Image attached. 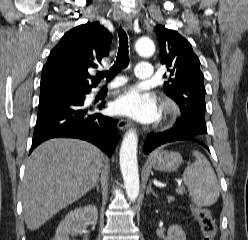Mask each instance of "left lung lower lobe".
<instances>
[{
	"instance_id": "obj_1",
	"label": "left lung lower lobe",
	"mask_w": 248,
	"mask_h": 240,
	"mask_svg": "<svg viewBox=\"0 0 248 240\" xmlns=\"http://www.w3.org/2000/svg\"><path fill=\"white\" fill-rule=\"evenodd\" d=\"M197 135L199 134L192 130L186 128H177L174 126L163 133H151L146 139V143L144 145V153L148 154L156 147L173 141H193L202 144L204 147H206L202 142L197 139Z\"/></svg>"
}]
</instances>
